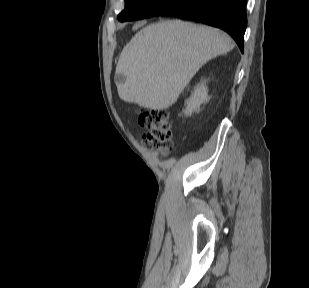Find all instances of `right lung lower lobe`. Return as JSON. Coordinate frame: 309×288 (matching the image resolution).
Segmentation results:
<instances>
[{"instance_id": "98d812e1", "label": "right lung lower lobe", "mask_w": 309, "mask_h": 288, "mask_svg": "<svg viewBox=\"0 0 309 288\" xmlns=\"http://www.w3.org/2000/svg\"><path fill=\"white\" fill-rule=\"evenodd\" d=\"M247 0H167L145 18L179 16L218 27L229 33L244 51Z\"/></svg>"}]
</instances>
